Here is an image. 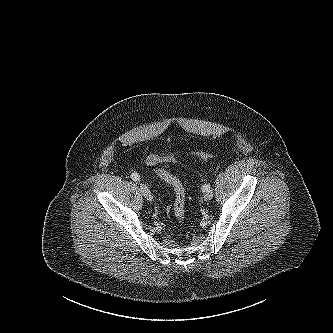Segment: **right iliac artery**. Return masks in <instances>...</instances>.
<instances>
[{"instance_id": "obj_1", "label": "right iliac artery", "mask_w": 333, "mask_h": 333, "mask_svg": "<svg viewBox=\"0 0 333 333\" xmlns=\"http://www.w3.org/2000/svg\"><path fill=\"white\" fill-rule=\"evenodd\" d=\"M131 178H132V180H134V181H139L140 180V176H139V174H137V173H132L131 174Z\"/></svg>"}]
</instances>
